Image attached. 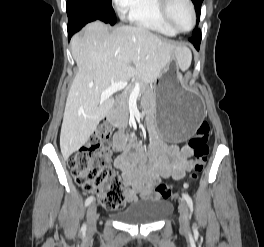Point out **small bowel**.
<instances>
[{
	"label": "small bowel",
	"mask_w": 264,
	"mask_h": 247,
	"mask_svg": "<svg viewBox=\"0 0 264 247\" xmlns=\"http://www.w3.org/2000/svg\"><path fill=\"white\" fill-rule=\"evenodd\" d=\"M150 136L151 145L147 150L133 133L124 129L113 138V147L118 153L114 165L122 172L129 202H135L138 196L158 198L154 188L162 178L181 180L191 169L192 152L188 146L166 143L153 127Z\"/></svg>",
	"instance_id": "small-bowel-1"
}]
</instances>
